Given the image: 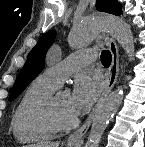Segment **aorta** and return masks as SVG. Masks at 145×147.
I'll use <instances>...</instances> for the list:
<instances>
[{"label":"aorta","mask_w":145,"mask_h":147,"mask_svg":"<svg viewBox=\"0 0 145 147\" xmlns=\"http://www.w3.org/2000/svg\"><path fill=\"white\" fill-rule=\"evenodd\" d=\"M101 31L110 33L122 46L128 59H134L135 45L131 29L122 18L113 15L103 14L79 23L72 28L69 40L73 47H83L90 44ZM122 100L123 91L118 88L97 106L85 147H98L104 130L119 109Z\"/></svg>","instance_id":"obj_1"}]
</instances>
